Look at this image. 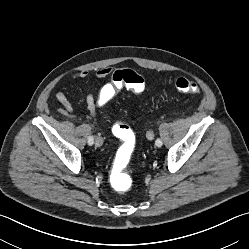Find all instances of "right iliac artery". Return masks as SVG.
<instances>
[{
  "instance_id": "right-iliac-artery-1",
  "label": "right iliac artery",
  "mask_w": 249,
  "mask_h": 249,
  "mask_svg": "<svg viewBox=\"0 0 249 249\" xmlns=\"http://www.w3.org/2000/svg\"><path fill=\"white\" fill-rule=\"evenodd\" d=\"M93 143H94V137L93 136H89V138H88V144L89 145H93Z\"/></svg>"
}]
</instances>
